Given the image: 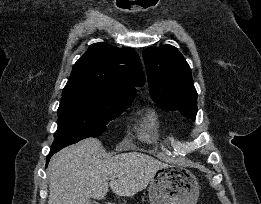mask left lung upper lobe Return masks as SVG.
<instances>
[{
    "label": "left lung upper lobe",
    "mask_w": 261,
    "mask_h": 204,
    "mask_svg": "<svg viewBox=\"0 0 261 204\" xmlns=\"http://www.w3.org/2000/svg\"><path fill=\"white\" fill-rule=\"evenodd\" d=\"M143 58L153 101L195 119L198 95L191 69L179 50L171 45L148 47Z\"/></svg>",
    "instance_id": "obj_1"
}]
</instances>
